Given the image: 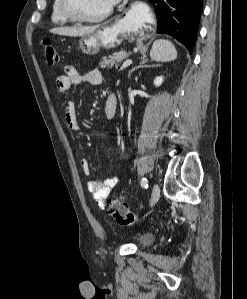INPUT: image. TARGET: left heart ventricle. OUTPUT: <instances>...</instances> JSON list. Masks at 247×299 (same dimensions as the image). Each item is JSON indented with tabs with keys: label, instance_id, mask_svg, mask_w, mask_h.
Wrapping results in <instances>:
<instances>
[{
	"label": "left heart ventricle",
	"instance_id": "left-heart-ventricle-1",
	"mask_svg": "<svg viewBox=\"0 0 247 299\" xmlns=\"http://www.w3.org/2000/svg\"><path fill=\"white\" fill-rule=\"evenodd\" d=\"M73 10L82 16L93 17L111 6L110 0H71Z\"/></svg>",
	"mask_w": 247,
	"mask_h": 299
}]
</instances>
